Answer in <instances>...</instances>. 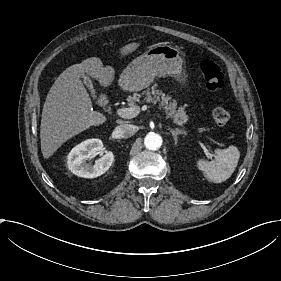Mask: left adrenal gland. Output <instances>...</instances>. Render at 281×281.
Segmentation results:
<instances>
[{
	"label": "left adrenal gland",
	"mask_w": 281,
	"mask_h": 281,
	"mask_svg": "<svg viewBox=\"0 0 281 281\" xmlns=\"http://www.w3.org/2000/svg\"><path fill=\"white\" fill-rule=\"evenodd\" d=\"M170 132H171V134H172V136H173V138H174L175 145H176L177 142H178V135L181 134L182 131L179 130V129H176V130L171 129Z\"/></svg>",
	"instance_id": "1"
}]
</instances>
